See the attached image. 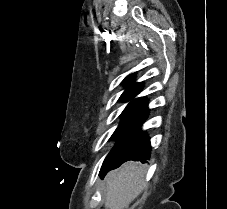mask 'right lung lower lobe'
<instances>
[{"label": "right lung lower lobe", "mask_w": 227, "mask_h": 209, "mask_svg": "<svg viewBox=\"0 0 227 209\" xmlns=\"http://www.w3.org/2000/svg\"><path fill=\"white\" fill-rule=\"evenodd\" d=\"M151 153V145L149 137L146 133H140L136 138L123 146L114 156L112 165L110 168L100 174L104 176L109 170L115 169L122 165L124 162L133 160V161H142L149 159Z\"/></svg>", "instance_id": "obj_1"}]
</instances>
